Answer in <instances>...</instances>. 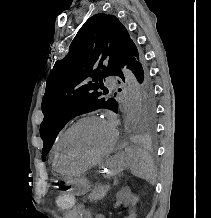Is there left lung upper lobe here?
<instances>
[{
    "label": "left lung upper lobe",
    "mask_w": 211,
    "mask_h": 218,
    "mask_svg": "<svg viewBox=\"0 0 211 218\" xmlns=\"http://www.w3.org/2000/svg\"><path fill=\"white\" fill-rule=\"evenodd\" d=\"M124 65L142 84V124L148 130L154 128V94L144 54L114 15L95 14L83 24L69 53L56 61L48 76L42 101L44 119L40 127L44 142L43 161L59 131L70 119L98 108L117 113L118 102L114 98H101L108 93L103 79L114 76L120 83L125 82L121 71ZM98 89L104 92H98Z\"/></svg>",
    "instance_id": "obj_1"
}]
</instances>
